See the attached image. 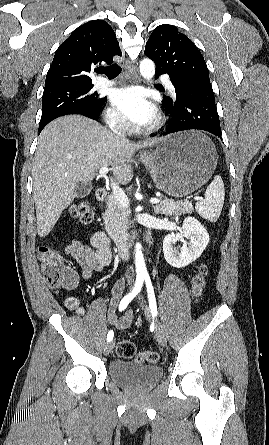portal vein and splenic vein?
I'll return each instance as SVG.
<instances>
[{"mask_svg":"<svg viewBox=\"0 0 269 445\" xmlns=\"http://www.w3.org/2000/svg\"><path fill=\"white\" fill-rule=\"evenodd\" d=\"M109 171L108 166H104L102 168H100L99 170V174L101 176H105ZM111 188L113 190V194L115 195L117 201L119 202V204H121L124 207H128L129 205V200L126 196V194L124 193V191L113 181H111ZM195 200H201V197H194ZM150 202L152 204H158L160 202V200L158 198H151Z\"/></svg>","mask_w":269,"mask_h":445,"instance_id":"portal-vein-and-splenic-vein-1","label":"portal vein and splenic vein"}]
</instances>
